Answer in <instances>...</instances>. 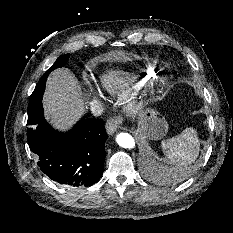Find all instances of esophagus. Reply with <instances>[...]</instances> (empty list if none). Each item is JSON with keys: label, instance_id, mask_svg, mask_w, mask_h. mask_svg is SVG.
Listing matches in <instances>:
<instances>
[{"label": "esophagus", "instance_id": "34e87169", "mask_svg": "<svg viewBox=\"0 0 233 233\" xmlns=\"http://www.w3.org/2000/svg\"><path fill=\"white\" fill-rule=\"evenodd\" d=\"M123 122V118L121 116H114L107 120L105 128L109 135L114 134V132L120 127Z\"/></svg>", "mask_w": 233, "mask_h": 233}]
</instances>
